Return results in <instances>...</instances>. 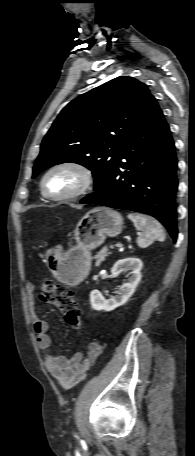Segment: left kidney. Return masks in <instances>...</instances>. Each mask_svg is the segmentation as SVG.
Segmentation results:
<instances>
[{
	"instance_id": "5707ae66",
	"label": "left kidney",
	"mask_w": 195,
	"mask_h": 456,
	"mask_svg": "<svg viewBox=\"0 0 195 456\" xmlns=\"http://www.w3.org/2000/svg\"><path fill=\"white\" fill-rule=\"evenodd\" d=\"M142 261L139 258L128 257L122 260H119L111 269V273L116 275L120 270H130L131 276L128 281L124 283L119 290L117 295L113 296L111 299L106 300L100 291L93 290L90 293V304L94 310L100 311H112L119 306L124 305L129 298L135 292L137 285L141 280V269Z\"/></svg>"
}]
</instances>
